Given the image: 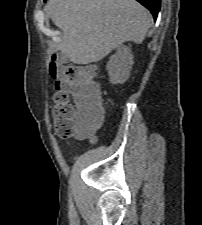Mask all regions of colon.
I'll return each mask as SVG.
<instances>
[{"label": "colon", "mask_w": 202, "mask_h": 225, "mask_svg": "<svg viewBox=\"0 0 202 225\" xmlns=\"http://www.w3.org/2000/svg\"><path fill=\"white\" fill-rule=\"evenodd\" d=\"M46 77L54 80L52 118L57 136L66 141L89 136L88 126L78 124L75 120V103L71 96L74 94L84 101L92 115L102 114L105 104L100 94L99 81L81 66L63 67L56 57L47 61Z\"/></svg>", "instance_id": "5ec220e1"}]
</instances>
